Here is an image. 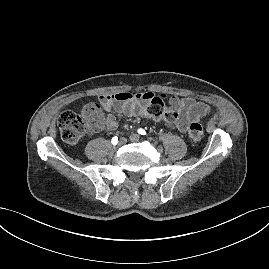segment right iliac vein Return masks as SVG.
Returning <instances> with one entry per match:
<instances>
[{"label": "right iliac vein", "instance_id": "right-iliac-vein-1", "mask_svg": "<svg viewBox=\"0 0 269 269\" xmlns=\"http://www.w3.org/2000/svg\"><path fill=\"white\" fill-rule=\"evenodd\" d=\"M127 143V140L125 139V138H122L121 140H119L118 142H117V145L119 146V147H122L123 145H125Z\"/></svg>", "mask_w": 269, "mask_h": 269}]
</instances>
